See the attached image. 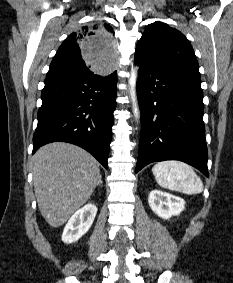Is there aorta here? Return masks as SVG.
<instances>
[{
    "mask_svg": "<svg viewBox=\"0 0 233 283\" xmlns=\"http://www.w3.org/2000/svg\"><path fill=\"white\" fill-rule=\"evenodd\" d=\"M136 80H137V72L136 70H132L131 71V76L129 79V84H130V95L132 98V102H133V110H134V115L136 117V119L139 117V108H138V103H137V98H136Z\"/></svg>",
    "mask_w": 233,
    "mask_h": 283,
    "instance_id": "762f6f07",
    "label": "aorta"
}]
</instances>
